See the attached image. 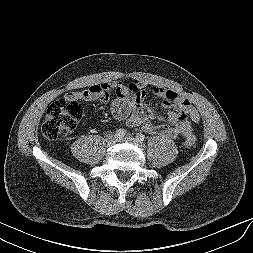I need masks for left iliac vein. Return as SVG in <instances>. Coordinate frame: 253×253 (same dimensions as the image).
Segmentation results:
<instances>
[{
    "instance_id": "obj_1",
    "label": "left iliac vein",
    "mask_w": 253,
    "mask_h": 253,
    "mask_svg": "<svg viewBox=\"0 0 253 253\" xmlns=\"http://www.w3.org/2000/svg\"><path fill=\"white\" fill-rule=\"evenodd\" d=\"M123 142H127V143H131V144H135L140 148H144V145L142 143H140L136 138L132 137V136H126L120 139Z\"/></svg>"
}]
</instances>
